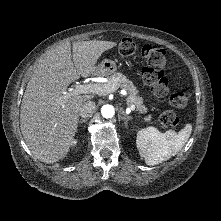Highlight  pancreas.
<instances>
[{"label": "pancreas", "instance_id": "cf45deb5", "mask_svg": "<svg viewBox=\"0 0 221 221\" xmlns=\"http://www.w3.org/2000/svg\"><path fill=\"white\" fill-rule=\"evenodd\" d=\"M101 85L115 86L116 88H124L128 92L127 103L134 105L140 114L147 113V108L143 104V98L139 96L138 90L132 83L128 80L126 76L122 73H115L109 77L108 82ZM151 115L145 117V121L151 120Z\"/></svg>", "mask_w": 221, "mask_h": 221}]
</instances>
